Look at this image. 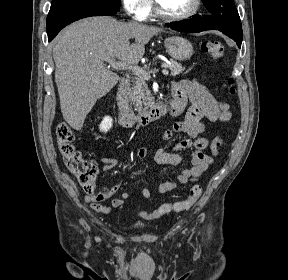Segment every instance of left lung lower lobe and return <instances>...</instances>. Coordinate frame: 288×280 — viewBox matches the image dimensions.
<instances>
[{"label": "left lung lower lobe", "instance_id": "left-lung-lower-lobe-1", "mask_svg": "<svg viewBox=\"0 0 288 280\" xmlns=\"http://www.w3.org/2000/svg\"><path fill=\"white\" fill-rule=\"evenodd\" d=\"M166 26L184 32H201L203 30H218L217 27H215L206 19V17L202 18L198 15L186 21L167 23ZM234 40L240 47L242 41L237 39Z\"/></svg>", "mask_w": 288, "mask_h": 280}]
</instances>
